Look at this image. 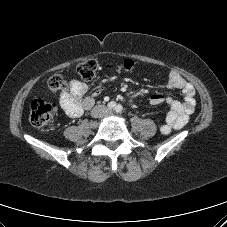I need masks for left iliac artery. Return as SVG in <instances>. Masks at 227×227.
I'll list each match as a JSON object with an SVG mask.
<instances>
[{
  "instance_id": "obj_1",
  "label": "left iliac artery",
  "mask_w": 227,
  "mask_h": 227,
  "mask_svg": "<svg viewBox=\"0 0 227 227\" xmlns=\"http://www.w3.org/2000/svg\"><path fill=\"white\" fill-rule=\"evenodd\" d=\"M115 111H116L117 113H122V111H123L122 105L118 104V105L115 107Z\"/></svg>"
}]
</instances>
